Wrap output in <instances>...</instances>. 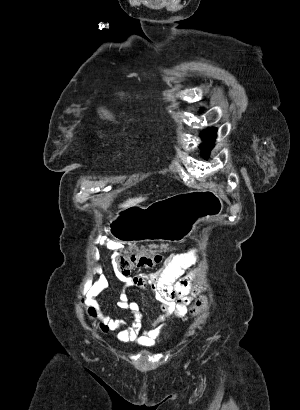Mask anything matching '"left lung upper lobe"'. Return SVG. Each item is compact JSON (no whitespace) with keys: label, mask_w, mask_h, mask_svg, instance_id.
Wrapping results in <instances>:
<instances>
[{"label":"left lung upper lobe","mask_w":300,"mask_h":410,"mask_svg":"<svg viewBox=\"0 0 300 410\" xmlns=\"http://www.w3.org/2000/svg\"><path fill=\"white\" fill-rule=\"evenodd\" d=\"M216 131L217 130L214 129V128H210V129L204 131V133L202 134L203 140L207 141L209 138L215 137ZM213 141L214 140L212 139L211 142H207V143H204V144L200 145V149L203 150L202 155L205 158L209 156V151L214 147Z\"/></svg>","instance_id":"1"}]
</instances>
